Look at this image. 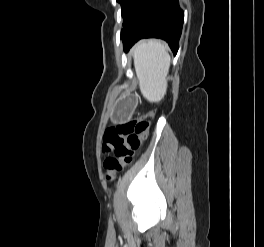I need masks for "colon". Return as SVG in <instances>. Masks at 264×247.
Instances as JSON below:
<instances>
[{
    "label": "colon",
    "mask_w": 264,
    "mask_h": 247,
    "mask_svg": "<svg viewBox=\"0 0 264 247\" xmlns=\"http://www.w3.org/2000/svg\"><path fill=\"white\" fill-rule=\"evenodd\" d=\"M155 116L149 111L138 118L119 123L108 128L103 135V152L108 155L103 163L108 180L113 179L123 168L131 163L133 153L147 136L150 122Z\"/></svg>",
    "instance_id": "1"
}]
</instances>
